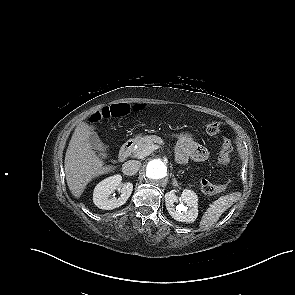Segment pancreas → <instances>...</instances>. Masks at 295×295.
<instances>
[{
	"label": "pancreas",
	"mask_w": 295,
	"mask_h": 295,
	"mask_svg": "<svg viewBox=\"0 0 295 295\" xmlns=\"http://www.w3.org/2000/svg\"><path fill=\"white\" fill-rule=\"evenodd\" d=\"M156 143H163L161 137H158L156 135L141 137V139L137 142V148L133 150V155L136 157H139L142 154L145 156L149 155L152 152L148 150L149 147L155 145Z\"/></svg>",
	"instance_id": "obj_1"
}]
</instances>
